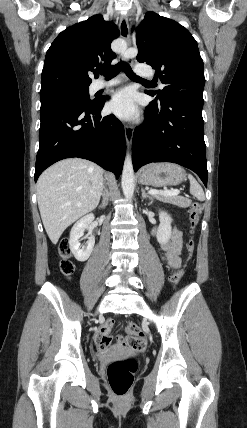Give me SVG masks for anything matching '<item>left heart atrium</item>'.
Segmentation results:
<instances>
[{
	"label": "left heart atrium",
	"mask_w": 247,
	"mask_h": 428,
	"mask_svg": "<svg viewBox=\"0 0 247 428\" xmlns=\"http://www.w3.org/2000/svg\"><path fill=\"white\" fill-rule=\"evenodd\" d=\"M109 108L117 116L126 119L135 118L138 113L134 93L129 89L116 93L109 104Z\"/></svg>",
	"instance_id": "obj_1"
}]
</instances>
